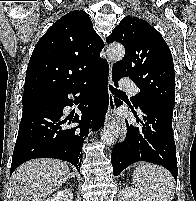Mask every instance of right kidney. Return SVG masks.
Segmentation results:
<instances>
[{"mask_svg": "<svg viewBox=\"0 0 196 201\" xmlns=\"http://www.w3.org/2000/svg\"><path fill=\"white\" fill-rule=\"evenodd\" d=\"M46 201H73V193L70 189L60 190Z\"/></svg>", "mask_w": 196, "mask_h": 201, "instance_id": "ca27d5eb", "label": "right kidney"}]
</instances>
